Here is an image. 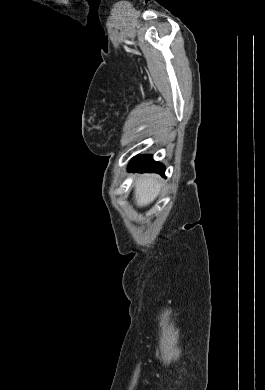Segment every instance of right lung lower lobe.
Here are the masks:
<instances>
[{"label":"right lung lower lobe","instance_id":"right-lung-lower-lobe-1","mask_svg":"<svg viewBox=\"0 0 265 390\" xmlns=\"http://www.w3.org/2000/svg\"><path fill=\"white\" fill-rule=\"evenodd\" d=\"M130 171H141V172H156L161 175L165 173V167L153 160L151 155L138 156L132 159L129 165Z\"/></svg>","mask_w":265,"mask_h":390}]
</instances>
